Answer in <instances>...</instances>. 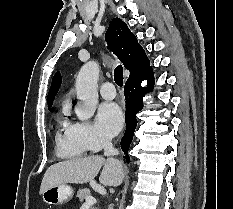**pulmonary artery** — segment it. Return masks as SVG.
Instances as JSON below:
<instances>
[{"mask_svg":"<svg viewBox=\"0 0 233 209\" xmlns=\"http://www.w3.org/2000/svg\"><path fill=\"white\" fill-rule=\"evenodd\" d=\"M99 92L105 99H113L116 96V89L111 82L103 83L99 88Z\"/></svg>","mask_w":233,"mask_h":209,"instance_id":"pulmonary-artery-1","label":"pulmonary artery"}]
</instances>
